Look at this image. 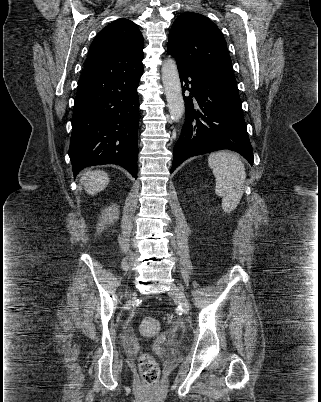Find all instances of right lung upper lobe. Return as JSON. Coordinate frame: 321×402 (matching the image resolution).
<instances>
[{
	"label": "right lung upper lobe",
	"mask_w": 321,
	"mask_h": 402,
	"mask_svg": "<svg viewBox=\"0 0 321 402\" xmlns=\"http://www.w3.org/2000/svg\"><path fill=\"white\" fill-rule=\"evenodd\" d=\"M143 42L135 23L128 19L113 21L92 42L82 78L143 70Z\"/></svg>",
	"instance_id": "obj_1"
}]
</instances>
